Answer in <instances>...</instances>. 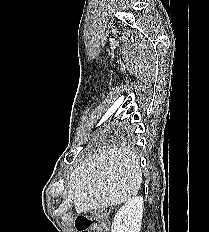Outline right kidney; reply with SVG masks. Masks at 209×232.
I'll use <instances>...</instances> for the list:
<instances>
[{
  "label": "right kidney",
  "instance_id": "right-kidney-1",
  "mask_svg": "<svg viewBox=\"0 0 209 232\" xmlns=\"http://www.w3.org/2000/svg\"><path fill=\"white\" fill-rule=\"evenodd\" d=\"M143 214V197L129 199L114 217L112 232H139Z\"/></svg>",
  "mask_w": 209,
  "mask_h": 232
}]
</instances>
